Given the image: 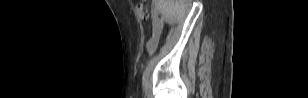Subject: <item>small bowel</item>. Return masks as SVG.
<instances>
[{"label":"small bowel","mask_w":308,"mask_h":98,"mask_svg":"<svg viewBox=\"0 0 308 98\" xmlns=\"http://www.w3.org/2000/svg\"><path fill=\"white\" fill-rule=\"evenodd\" d=\"M161 31H162L161 27H159V26L154 27L153 35L147 43V49H148L149 52L155 51L157 44H158V41H159Z\"/></svg>","instance_id":"obj_1"}]
</instances>
